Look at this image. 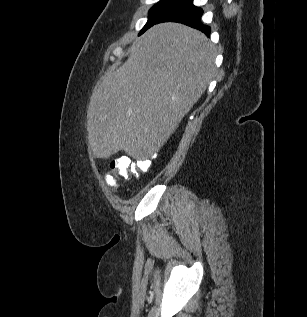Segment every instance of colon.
I'll list each match as a JSON object with an SVG mask.
<instances>
[{
	"label": "colon",
	"mask_w": 307,
	"mask_h": 317,
	"mask_svg": "<svg viewBox=\"0 0 307 317\" xmlns=\"http://www.w3.org/2000/svg\"><path fill=\"white\" fill-rule=\"evenodd\" d=\"M149 166L150 160L115 159L110 164V172L105 176V182L109 187L114 188L117 185V179L129 180L139 173L147 172Z\"/></svg>",
	"instance_id": "1"
}]
</instances>
